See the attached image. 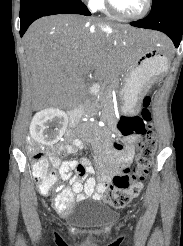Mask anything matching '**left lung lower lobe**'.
<instances>
[{
    "label": "left lung lower lobe",
    "mask_w": 183,
    "mask_h": 246,
    "mask_svg": "<svg viewBox=\"0 0 183 246\" xmlns=\"http://www.w3.org/2000/svg\"><path fill=\"white\" fill-rule=\"evenodd\" d=\"M130 25L161 31L178 48L183 33V0H161L152 6L147 17L131 22Z\"/></svg>",
    "instance_id": "left-lung-lower-lobe-1"
}]
</instances>
